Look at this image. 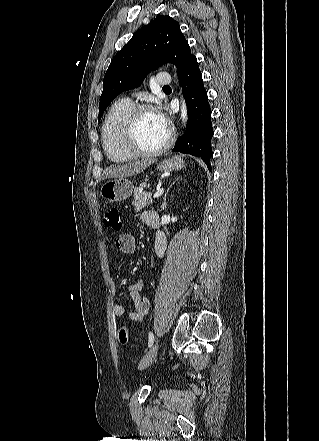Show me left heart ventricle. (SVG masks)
Instances as JSON below:
<instances>
[{"label": "left heart ventricle", "mask_w": 319, "mask_h": 441, "mask_svg": "<svg viewBox=\"0 0 319 441\" xmlns=\"http://www.w3.org/2000/svg\"><path fill=\"white\" fill-rule=\"evenodd\" d=\"M167 124L163 123L156 112L143 113L136 128V141L145 150L161 146L167 138Z\"/></svg>", "instance_id": "1"}]
</instances>
